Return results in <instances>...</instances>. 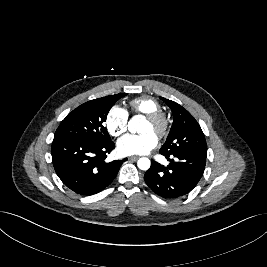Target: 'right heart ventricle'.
<instances>
[{
  "label": "right heart ventricle",
  "mask_w": 267,
  "mask_h": 267,
  "mask_svg": "<svg viewBox=\"0 0 267 267\" xmlns=\"http://www.w3.org/2000/svg\"><path fill=\"white\" fill-rule=\"evenodd\" d=\"M130 110L133 113L148 115L156 111H162L160 103L149 96H141L129 102Z\"/></svg>",
  "instance_id": "e07e8e85"
}]
</instances>
